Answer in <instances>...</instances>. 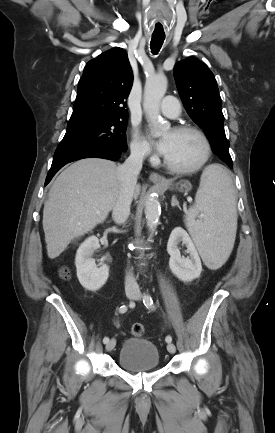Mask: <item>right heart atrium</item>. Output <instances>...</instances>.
Instances as JSON below:
<instances>
[{"instance_id":"1","label":"right heart atrium","mask_w":275,"mask_h":433,"mask_svg":"<svg viewBox=\"0 0 275 433\" xmlns=\"http://www.w3.org/2000/svg\"><path fill=\"white\" fill-rule=\"evenodd\" d=\"M130 148L133 156L137 159H144L151 154L149 143L140 135L137 129L133 131Z\"/></svg>"}]
</instances>
